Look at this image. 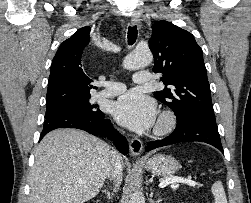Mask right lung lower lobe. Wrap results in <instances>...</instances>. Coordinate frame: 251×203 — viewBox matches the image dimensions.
I'll return each instance as SVG.
<instances>
[{
    "label": "right lung lower lobe",
    "instance_id": "obj_1",
    "mask_svg": "<svg viewBox=\"0 0 251 203\" xmlns=\"http://www.w3.org/2000/svg\"><path fill=\"white\" fill-rule=\"evenodd\" d=\"M57 128H76L92 135L108 137L116 142L115 146L124 155L129 151L128 142L121 136L108 119L97 118L83 113H63L45 119L40 139Z\"/></svg>",
    "mask_w": 251,
    "mask_h": 203
}]
</instances>
